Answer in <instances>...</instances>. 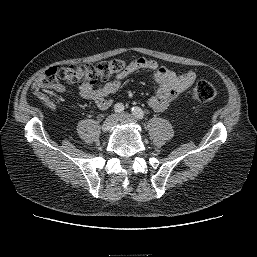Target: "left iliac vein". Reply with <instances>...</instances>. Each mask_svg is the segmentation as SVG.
I'll return each mask as SVG.
<instances>
[{
    "label": "left iliac vein",
    "mask_w": 257,
    "mask_h": 257,
    "mask_svg": "<svg viewBox=\"0 0 257 257\" xmlns=\"http://www.w3.org/2000/svg\"><path fill=\"white\" fill-rule=\"evenodd\" d=\"M119 121L123 124L126 123H133L136 124V120L133 116L126 114V113H122L119 115Z\"/></svg>",
    "instance_id": "obj_1"
}]
</instances>
